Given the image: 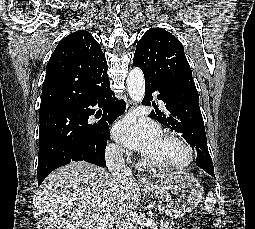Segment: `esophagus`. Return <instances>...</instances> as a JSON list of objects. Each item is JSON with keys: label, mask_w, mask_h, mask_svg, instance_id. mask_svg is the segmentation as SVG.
<instances>
[{"label": "esophagus", "mask_w": 255, "mask_h": 229, "mask_svg": "<svg viewBox=\"0 0 255 229\" xmlns=\"http://www.w3.org/2000/svg\"><path fill=\"white\" fill-rule=\"evenodd\" d=\"M134 107H135V103L131 100H128L127 101V106H126V111L130 112ZM137 179H138V182L142 185H145V186H152L153 185L152 182L147 177H145L143 175H138Z\"/></svg>", "instance_id": "esophagus-1"}]
</instances>
